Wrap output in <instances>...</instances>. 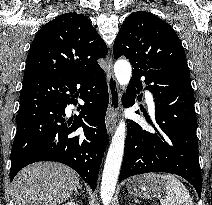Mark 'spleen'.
<instances>
[{
  "mask_svg": "<svg viewBox=\"0 0 212 205\" xmlns=\"http://www.w3.org/2000/svg\"><path fill=\"white\" fill-rule=\"evenodd\" d=\"M145 179H157L165 182L166 196L160 200L161 205H194L189 191L176 176L150 173L145 176Z\"/></svg>",
  "mask_w": 212,
  "mask_h": 205,
  "instance_id": "1",
  "label": "spleen"
}]
</instances>
